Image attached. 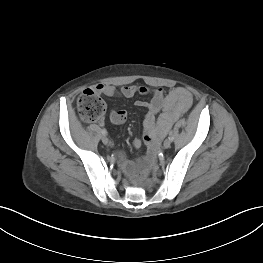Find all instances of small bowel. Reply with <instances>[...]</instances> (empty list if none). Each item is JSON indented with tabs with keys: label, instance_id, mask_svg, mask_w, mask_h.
I'll list each match as a JSON object with an SVG mask.
<instances>
[{
	"label": "small bowel",
	"instance_id": "c3829d8e",
	"mask_svg": "<svg viewBox=\"0 0 263 263\" xmlns=\"http://www.w3.org/2000/svg\"><path fill=\"white\" fill-rule=\"evenodd\" d=\"M99 94L107 97L122 96L132 98L136 94L151 95L150 101L138 100L136 105L147 108L148 112L143 124V137L133 140V146L139 148L143 142L152 144L161 139L171 128L173 123L185 114L192 105L191 93L183 87H176L166 92L162 88L150 90L145 86L128 85L117 90L108 84H98L95 89ZM112 123L120 125L127 119V112L123 109L114 110L110 114ZM101 124L103 121L100 122ZM123 170L128 174L137 171V164L120 154Z\"/></svg>",
	"mask_w": 263,
	"mask_h": 263
}]
</instances>
